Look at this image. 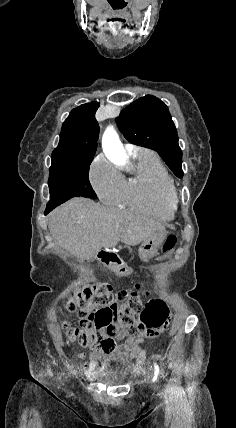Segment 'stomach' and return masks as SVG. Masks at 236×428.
<instances>
[{"instance_id":"1","label":"stomach","mask_w":236,"mask_h":428,"mask_svg":"<svg viewBox=\"0 0 236 428\" xmlns=\"http://www.w3.org/2000/svg\"><path fill=\"white\" fill-rule=\"evenodd\" d=\"M164 238L165 234H155V236H151V238H148V240H144L139 248V256L141 260H149V258H154V256L158 254V248H160ZM117 271L120 278H125L129 270L126 266H119ZM128 275L132 276L133 274L129 273Z\"/></svg>"}]
</instances>
